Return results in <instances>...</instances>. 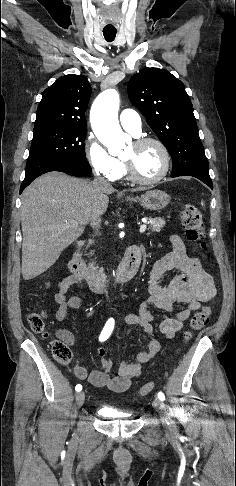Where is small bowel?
I'll return each instance as SVG.
<instances>
[{"instance_id": "c3829d8e", "label": "small bowel", "mask_w": 236, "mask_h": 486, "mask_svg": "<svg viewBox=\"0 0 236 486\" xmlns=\"http://www.w3.org/2000/svg\"><path fill=\"white\" fill-rule=\"evenodd\" d=\"M170 243L172 251L157 260L148 278V296L141 302L138 312L127 314L122 320L129 325H138L150 336L148 349L139 352L135 361L122 362L118 372L112 375V362L103 347L97 349L101 369L91 371L89 374L84 366L76 364L74 374L80 380L88 379L91 385L98 388H106L113 392H124L139 377L143 371V365L151 360L160 350V343L155 338V325L166 338H173L180 331L185 321L191 314L198 310L205 302L212 300L216 294V288L212 276L207 273L200 260L186 253L184 242L178 235H171ZM170 270L178 271L171 283L166 286L158 284L163 274ZM83 281L74 274L59 280L54 300L58 305L55 312L57 321H64L69 309H77L81 305L78 296H67L70 288L82 284ZM179 305L184 307L177 309ZM154 306L162 311V316H155L149 310ZM57 336L66 343L74 342L73 335L67 330H58Z\"/></svg>"}]
</instances>
